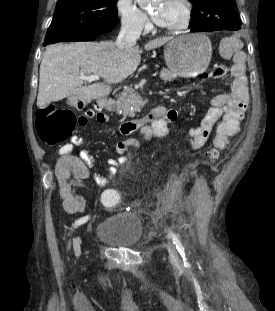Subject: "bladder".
Returning <instances> with one entry per match:
<instances>
[{
	"label": "bladder",
	"instance_id": "31cf9c89",
	"mask_svg": "<svg viewBox=\"0 0 275 311\" xmlns=\"http://www.w3.org/2000/svg\"><path fill=\"white\" fill-rule=\"evenodd\" d=\"M144 227L138 212L122 211L102 219L95 231L98 239L116 248H134L143 241Z\"/></svg>",
	"mask_w": 275,
	"mask_h": 311
}]
</instances>
